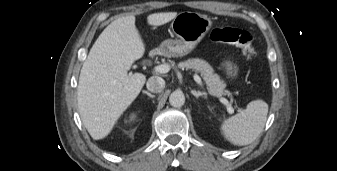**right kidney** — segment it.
<instances>
[{
	"mask_svg": "<svg viewBox=\"0 0 337 171\" xmlns=\"http://www.w3.org/2000/svg\"><path fill=\"white\" fill-rule=\"evenodd\" d=\"M134 118H135V115L132 114V115L130 116V121L134 120Z\"/></svg>",
	"mask_w": 337,
	"mask_h": 171,
	"instance_id": "1",
	"label": "right kidney"
}]
</instances>
